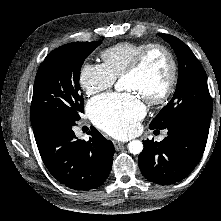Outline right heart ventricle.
<instances>
[{"label":"right heart ventricle","mask_w":221,"mask_h":221,"mask_svg":"<svg viewBox=\"0 0 221 221\" xmlns=\"http://www.w3.org/2000/svg\"><path fill=\"white\" fill-rule=\"evenodd\" d=\"M145 45L146 43L121 42L106 48L101 52L104 67L115 79L121 78Z\"/></svg>","instance_id":"e07e8e85"}]
</instances>
